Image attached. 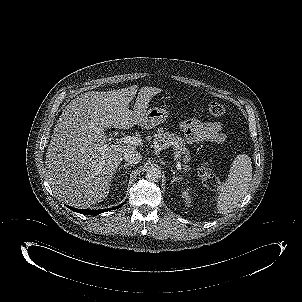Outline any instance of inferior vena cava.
Segmentation results:
<instances>
[{
    "label": "inferior vena cava",
    "instance_id": "obj_1",
    "mask_svg": "<svg viewBox=\"0 0 302 302\" xmlns=\"http://www.w3.org/2000/svg\"><path fill=\"white\" fill-rule=\"evenodd\" d=\"M123 158L129 164H138L142 160V156L134 149L126 150L123 154Z\"/></svg>",
    "mask_w": 302,
    "mask_h": 302
}]
</instances>
